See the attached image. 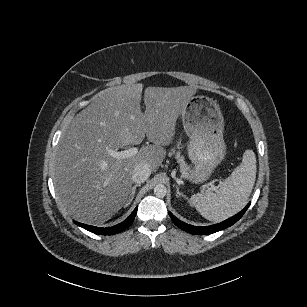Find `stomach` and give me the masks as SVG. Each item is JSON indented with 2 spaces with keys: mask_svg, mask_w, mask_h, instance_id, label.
Returning <instances> with one entry per match:
<instances>
[{
  "mask_svg": "<svg viewBox=\"0 0 307 307\" xmlns=\"http://www.w3.org/2000/svg\"><path fill=\"white\" fill-rule=\"evenodd\" d=\"M182 123L190 141L187 145L189 180L203 183L226 155L223 139L224 118L216 101L206 96H193L186 104Z\"/></svg>",
  "mask_w": 307,
  "mask_h": 307,
  "instance_id": "obj_1",
  "label": "stomach"
}]
</instances>
